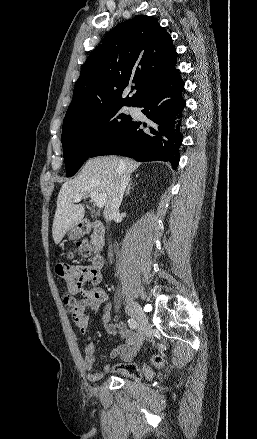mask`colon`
Returning a JSON list of instances; mask_svg holds the SVG:
<instances>
[{
	"mask_svg": "<svg viewBox=\"0 0 257 439\" xmlns=\"http://www.w3.org/2000/svg\"><path fill=\"white\" fill-rule=\"evenodd\" d=\"M91 246L85 242H79L76 252L82 256H88L91 253ZM83 301V296L80 292H66L63 295V302L68 311L73 315L76 312L79 311L81 303ZM151 362L154 365H161L162 358L159 356H154L151 359ZM123 375H126L128 377H131L135 380H140L143 377H149L151 376L152 372L148 367L139 368L134 363H129L125 365L122 370L120 371Z\"/></svg>",
	"mask_w": 257,
	"mask_h": 439,
	"instance_id": "1",
	"label": "colon"
}]
</instances>
